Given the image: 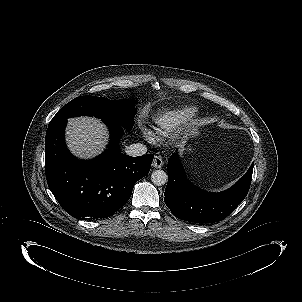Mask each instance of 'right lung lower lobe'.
Instances as JSON below:
<instances>
[{
	"label": "right lung lower lobe",
	"mask_w": 302,
	"mask_h": 302,
	"mask_svg": "<svg viewBox=\"0 0 302 302\" xmlns=\"http://www.w3.org/2000/svg\"><path fill=\"white\" fill-rule=\"evenodd\" d=\"M110 130L108 149L82 161L73 157L64 141L66 120L49 123L45 138L48 187L62 208L77 219L112 216L129 200L134 184L149 173L154 155H124L118 148L123 127L104 121Z\"/></svg>",
	"instance_id": "right-lung-lower-lobe-1"
}]
</instances>
